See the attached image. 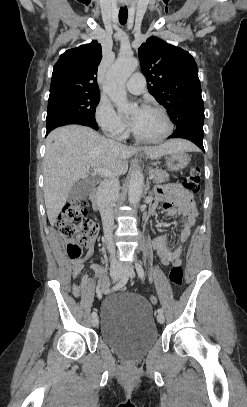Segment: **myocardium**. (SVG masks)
<instances>
[{
	"label": "myocardium",
	"instance_id": "f54148a6",
	"mask_svg": "<svg viewBox=\"0 0 247 407\" xmlns=\"http://www.w3.org/2000/svg\"><path fill=\"white\" fill-rule=\"evenodd\" d=\"M142 108L143 109L154 110V111L159 112L163 116V118H164V120L166 122L167 129H166L165 133L162 136L158 137V138L146 139V138H143L140 135H138V133L135 131L132 124H130L129 125V131H130L131 135L133 136V138L137 142L142 143V144H158V143H161L164 140H166L171 135V133L173 132V127H174L173 122H172L171 117L169 116L168 112L163 107H161L159 105H154V104L145 105Z\"/></svg>",
	"mask_w": 247,
	"mask_h": 407
}]
</instances>
